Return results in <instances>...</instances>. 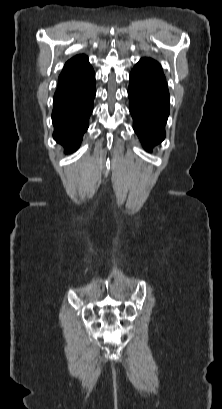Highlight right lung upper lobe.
Listing matches in <instances>:
<instances>
[{"instance_id":"obj_1","label":"right lung upper lobe","mask_w":222,"mask_h":409,"mask_svg":"<svg viewBox=\"0 0 222 409\" xmlns=\"http://www.w3.org/2000/svg\"><path fill=\"white\" fill-rule=\"evenodd\" d=\"M92 69L91 65L88 62V58L85 55H77L71 58L64 66L62 73L60 74H67V73H85ZM59 76V83L56 92L66 91L74 88V86L70 83L60 81Z\"/></svg>"}]
</instances>
